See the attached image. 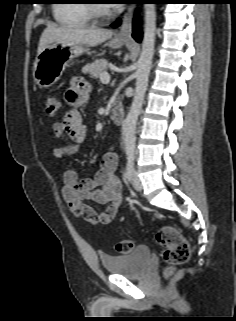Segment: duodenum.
Here are the masks:
<instances>
[{
	"mask_svg": "<svg viewBox=\"0 0 236 321\" xmlns=\"http://www.w3.org/2000/svg\"><path fill=\"white\" fill-rule=\"evenodd\" d=\"M111 119L116 125H121L124 121V113L120 107L113 109L111 113Z\"/></svg>",
	"mask_w": 236,
	"mask_h": 321,
	"instance_id": "410a0bca",
	"label": "duodenum"
}]
</instances>
